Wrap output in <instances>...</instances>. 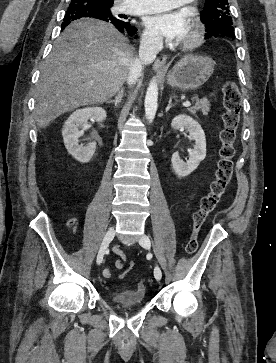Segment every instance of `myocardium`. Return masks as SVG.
Instances as JSON below:
<instances>
[{
    "label": "myocardium",
    "instance_id": "1",
    "mask_svg": "<svg viewBox=\"0 0 276 363\" xmlns=\"http://www.w3.org/2000/svg\"><path fill=\"white\" fill-rule=\"evenodd\" d=\"M191 35L182 41L181 47L184 49H194L198 47L204 38V26L195 15L191 17Z\"/></svg>",
    "mask_w": 276,
    "mask_h": 363
}]
</instances>
